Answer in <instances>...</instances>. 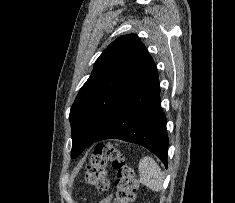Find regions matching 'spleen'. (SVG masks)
<instances>
[{"mask_svg": "<svg viewBox=\"0 0 235 203\" xmlns=\"http://www.w3.org/2000/svg\"><path fill=\"white\" fill-rule=\"evenodd\" d=\"M139 181L153 191H160L163 185V175L160 167L150 156L143 157L139 164Z\"/></svg>", "mask_w": 235, "mask_h": 203, "instance_id": "spleen-1", "label": "spleen"}]
</instances>
